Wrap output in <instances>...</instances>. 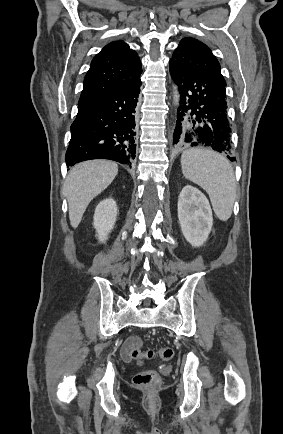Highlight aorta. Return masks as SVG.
I'll list each match as a JSON object with an SVG mask.
<instances>
[{"instance_id":"aorta-1","label":"aorta","mask_w":283,"mask_h":434,"mask_svg":"<svg viewBox=\"0 0 283 434\" xmlns=\"http://www.w3.org/2000/svg\"><path fill=\"white\" fill-rule=\"evenodd\" d=\"M179 98H180V95H179L178 87L176 85H174V87H173V102H174V105H178L179 104Z\"/></svg>"}]
</instances>
